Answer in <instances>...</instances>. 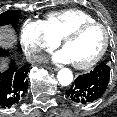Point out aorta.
I'll list each match as a JSON object with an SVG mask.
<instances>
[{"label":"aorta","mask_w":117,"mask_h":117,"mask_svg":"<svg viewBox=\"0 0 117 117\" xmlns=\"http://www.w3.org/2000/svg\"><path fill=\"white\" fill-rule=\"evenodd\" d=\"M57 79L62 86H68L73 81V74L68 68H63L59 70Z\"/></svg>","instance_id":"1"}]
</instances>
